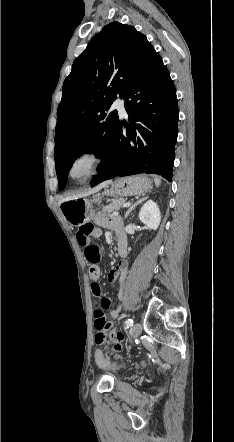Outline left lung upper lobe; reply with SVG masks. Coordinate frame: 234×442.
Here are the masks:
<instances>
[{"mask_svg":"<svg viewBox=\"0 0 234 442\" xmlns=\"http://www.w3.org/2000/svg\"><path fill=\"white\" fill-rule=\"evenodd\" d=\"M154 52L133 26L113 22L74 61L57 111L54 157L60 190L74 160L83 153L102 159L98 169L104 163L119 123L116 110L105 111L117 95L123 97Z\"/></svg>","mask_w":234,"mask_h":442,"instance_id":"5c2ea615","label":"left lung upper lobe"}]
</instances>
